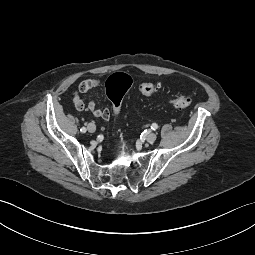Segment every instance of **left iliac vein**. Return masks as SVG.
<instances>
[{
  "label": "left iliac vein",
  "instance_id": "obj_1",
  "mask_svg": "<svg viewBox=\"0 0 255 255\" xmlns=\"http://www.w3.org/2000/svg\"><path fill=\"white\" fill-rule=\"evenodd\" d=\"M157 138V135L155 133H149L147 136H146V140L150 143L154 142Z\"/></svg>",
  "mask_w": 255,
  "mask_h": 255
}]
</instances>
